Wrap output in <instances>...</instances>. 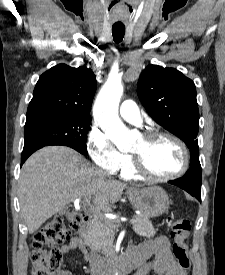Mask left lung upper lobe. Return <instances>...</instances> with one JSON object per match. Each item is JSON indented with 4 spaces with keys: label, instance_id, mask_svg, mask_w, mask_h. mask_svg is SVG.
Instances as JSON below:
<instances>
[{
    "label": "left lung upper lobe",
    "instance_id": "5c2ea615",
    "mask_svg": "<svg viewBox=\"0 0 225 275\" xmlns=\"http://www.w3.org/2000/svg\"><path fill=\"white\" fill-rule=\"evenodd\" d=\"M138 95L149 115L185 142L191 152L190 167H200L194 82L174 68L149 65L139 78Z\"/></svg>",
    "mask_w": 225,
    "mask_h": 275
}]
</instances>
